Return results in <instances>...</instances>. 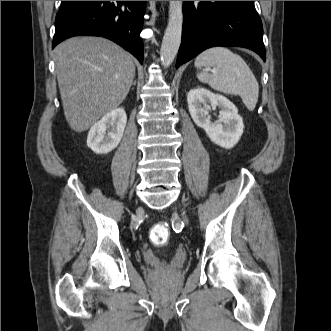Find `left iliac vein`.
<instances>
[{"label": "left iliac vein", "mask_w": 331, "mask_h": 331, "mask_svg": "<svg viewBox=\"0 0 331 331\" xmlns=\"http://www.w3.org/2000/svg\"><path fill=\"white\" fill-rule=\"evenodd\" d=\"M184 220H185L186 222H188V219H187V217H185V216H184Z\"/></svg>", "instance_id": "1"}]
</instances>
